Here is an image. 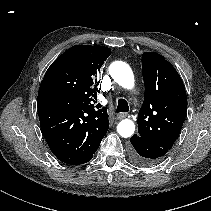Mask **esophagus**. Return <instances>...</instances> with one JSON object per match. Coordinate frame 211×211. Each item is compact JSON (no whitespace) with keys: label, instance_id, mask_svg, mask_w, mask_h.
I'll return each instance as SVG.
<instances>
[{"label":"esophagus","instance_id":"esophagus-1","mask_svg":"<svg viewBox=\"0 0 211 211\" xmlns=\"http://www.w3.org/2000/svg\"><path fill=\"white\" fill-rule=\"evenodd\" d=\"M127 116V113H119L116 115V119L121 120Z\"/></svg>","mask_w":211,"mask_h":211}]
</instances>
